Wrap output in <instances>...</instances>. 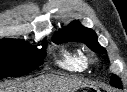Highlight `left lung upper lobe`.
<instances>
[{"label":"left lung upper lobe","mask_w":127,"mask_h":92,"mask_svg":"<svg viewBox=\"0 0 127 92\" xmlns=\"http://www.w3.org/2000/svg\"><path fill=\"white\" fill-rule=\"evenodd\" d=\"M55 43L69 41L83 42L91 50L97 53L106 54V50L97 42L96 33L89 28L83 27L78 21H73L68 27L59 30L53 37ZM110 84L121 88V81L116 75H112Z\"/></svg>","instance_id":"1"}]
</instances>
